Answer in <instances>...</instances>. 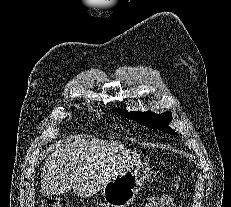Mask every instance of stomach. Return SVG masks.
<instances>
[{
  "label": "stomach",
  "instance_id": "1",
  "mask_svg": "<svg viewBox=\"0 0 231 207\" xmlns=\"http://www.w3.org/2000/svg\"><path fill=\"white\" fill-rule=\"evenodd\" d=\"M150 176L148 166H137L119 172L102 188L107 207H127L145 186Z\"/></svg>",
  "mask_w": 231,
  "mask_h": 207
}]
</instances>
